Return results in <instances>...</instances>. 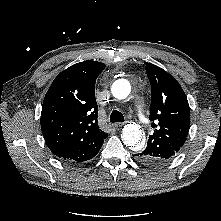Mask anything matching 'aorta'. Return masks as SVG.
Instances as JSON below:
<instances>
[{
	"label": "aorta",
	"instance_id": "762f6f07",
	"mask_svg": "<svg viewBox=\"0 0 221 221\" xmlns=\"http://www.w3.org/2000/svg\"><path fill=\"white\" fill-rule=\"evenodd\" d=\"M131 91L130 83L126 79H119L112 84V95L117 99H125ZM124 145L131 150H141L145 145V138L139 125L130 123L124 126L121 134Z\"/></svg>",
	"mask_w": 221,
	"mask_h": 221
}]
</instances>
